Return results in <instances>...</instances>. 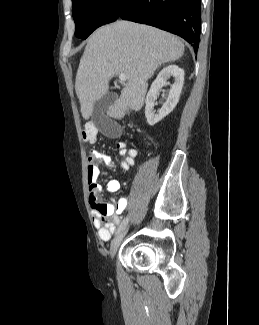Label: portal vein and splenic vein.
Here are the masks:
<instances>
[{"instance_id":"obj_1","label":"portal vein and splenic vein","mask_w":259,"mask_h":325,"mask_svg":"<svg viewBox=\"0 0 259 325\" xmlns=\"http://www.w3.org/2000/svg\"><path fill=\"white\" fill-rule=\"evenodd\" d=\"M119 80H120V81H126V80H127V75L124 74V73H120V74H119Z\"/></svg>"}]
</instances>
